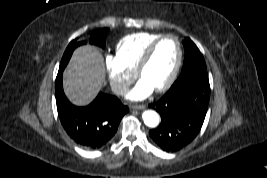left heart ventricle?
<instances>
[{
	"label": "left heart ventricle",
	"instance_id": "b2bd125f",
	"mask_svg": "<svg viewBox=\"0 0 267 178\" xmlns=\"http://www.w3.org/2000/svg\"><path fill=\"white\" fill-rule=\"evenodd\" d=\"M177 56L176 41L173 38L164 39L155 49L149 63L142 71L140 79L145 80L154 90L160 87L170 76Z\"/></svg>",
	"mask_w": 267,
	"mask_h": 178
}]
</instances>
